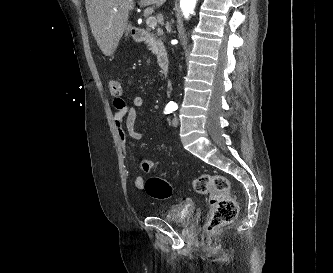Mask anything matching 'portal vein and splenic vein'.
Listing matches in <instances>:
<instances>
[{
  "label": "portal vein and splenic vein",
  "instance_id": "portal-vein-and-splenic-vein-1",
  "mask_svg": "<svg viewBox=\"0 0 333 273\" xmlns=\"http://www.w3.org/2000/svg\"><path fill=\"white\" fill-rule=\"evenodd\" d=\"M116 11V9H114ZM146 24L148 25V27L150 28H154L157 26V20L155 17H148L147 20H146Z\"/></svg>",
  "mask_w": 333,
  "mask_h": 273
}]
</instances>
